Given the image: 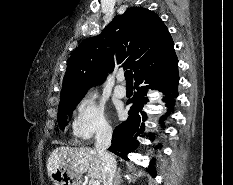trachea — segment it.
Masks as SVG:
<instances>
[{
    "mask_svg": "<svg viewBox=\"0 0 233 185\" xmlns=\"http://www.w3.org/2000/svg\"><path fill=\"white\" fill-rule=\"evenodd\" d=\"M125 79H126V84H133L132 80V71L128 70L125 72Z\"/></svg>",
    "mask_w": 233,
    "mask_h": 185,
    "instance_id": "obj_1",
    "label": "trachea"
}]
</instances>
